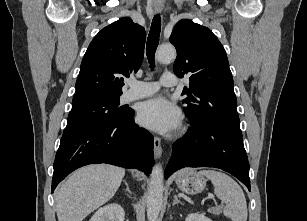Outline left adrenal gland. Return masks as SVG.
Returning a JSON list of instances; mask_svg holds the SVG:
<instances>
[{"label":"left adrenal gland","instance_id":"left-adrenal-gland-1","mask_svg":"<svg viewBox=\"0 0 307 221\" xmlns=\"http://www.w3.org/2000/svg\"><path fill=\"white\" fill-rule=\"evenodd\" d=\"M178 203L182 204V202L178 199V195H175V196H174V201H173V206H174L175 204H178Z\"/></svg>","mask_w":307,"mask_h":221}]
</instances>
